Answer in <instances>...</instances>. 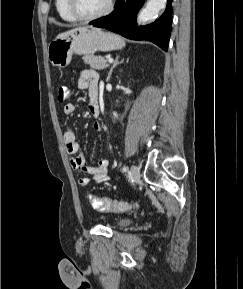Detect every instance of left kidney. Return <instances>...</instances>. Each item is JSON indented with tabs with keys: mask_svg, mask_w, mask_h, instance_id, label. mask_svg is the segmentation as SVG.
<instances>
[{
	"mask_svg": "<svg viewBox=\"0 0 243 289\" xmlns=\"http://www.w3.org/2000/svg\"><path fill=\"white\" fill-rule=\"evenodd\" d=\"M113 116H114V117H117V113H116V112H113Z\"/></svg>",
	"mask_w": 243,
	"mask_h": 289,
	"instance_id": "obj_1",
	"label": "left kidney"
}]
</instances>
